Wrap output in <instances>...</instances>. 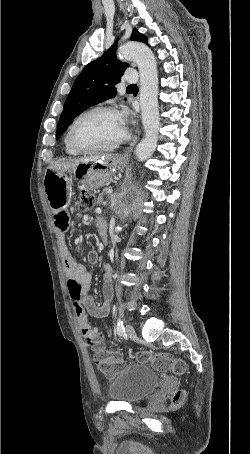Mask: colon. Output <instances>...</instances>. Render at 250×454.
<instances>
[{
  "label": "colon",
  "instance_id": "obj_1",
  "mask_svg": "<svg viewBox=\"0 0 250 454\" xmlns=\"http://www.w3.org/2000/svg\"><path fill=\"white\" fill-rule=\"evenodd\" d=\"M93 205L94 196L88 191H82L79 199V209L87 211ZM93 342L95 349L94 361L103 374L114 376L126 368V361L121 355L110 353L101 347L99 333L94 335ZM136 359L139 362L150 363L155 370L161 372H171L179 375L185 371V363L168 353L139 352L136 355ZM185 396L186 392L184 390L176 391L173 396V403L175 405L181 404Z\"/></svg>",
  "mask_w": 250,
  "mask_h": 454
}]
</instances>
